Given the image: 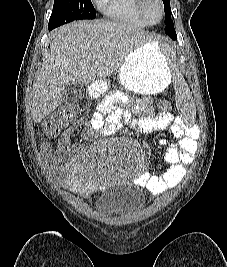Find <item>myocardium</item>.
Segmentation results:
<instances>
[{
  "label": "myocardium",
  "instance_id": "myocardium-1",
  "mask_svg": "<svg viewBox=\"0 0 227 267\" xmlns=\"http://www.w3.org/2000/svg\"><path fill=\"white\" fill-rule=\"evenodd\" d=\"M147 2L148 0H137V9L139 11V14L142 16V18L150 25H154L159 23L165 16V6L163 0H156V2L159 4L160 8V17L157 21L150 20L148 14H147Z\"/></svg>",
  "mask_w": 227,
  "mask_h": 267
}]
</instances>
